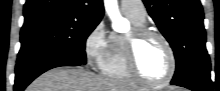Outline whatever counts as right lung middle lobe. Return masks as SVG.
<instances>
[{
	"mask_svg": "<svg viewBox=\"0 0 220 91\" xmlns=\"http://www.w3.org/2000/svg\"><path fill=\"white\" fill-rule=\"evenodd\" d=\"M100 21L59 16L23 25L18 58L45 52L69 55L86 63L85 41Z\"/></svg>",
	"mask_w": 220,
	"mask_h": 91,
	"instance_id": "right-lung-middle-lobe-1",
	"label": "right lung middle lobe"
}]
</instances>
